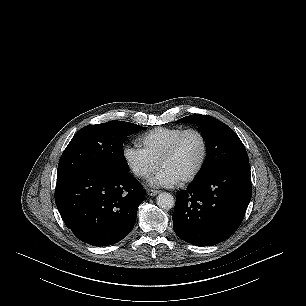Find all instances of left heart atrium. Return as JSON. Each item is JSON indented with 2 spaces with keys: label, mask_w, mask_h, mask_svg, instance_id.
<instances>
[{
  "label": "left heart atrium",
  "mask_w": 306,
  "mask_h": 306,
  "mask_svg": "<svg viewBox=\"0 0 306 306\" xmlns=\"http://www.w3.org/2000/svg\"><path fill=\"white\" fill-rule=\"evenodd\" d=\"M180 181L170 170L162 168L149 179V184L156 187H172Z\"/></svg>",
  "instance_id": "1"
}]
</instances>
